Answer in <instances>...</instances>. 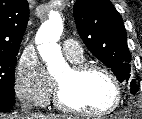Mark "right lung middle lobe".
<instances>
[{"mask_svg": "<svg viewBox=\"0 0 142 119\" xmlns=\"http://www.w3.org/2000/svg\"><path fill=\"white\" fill-rule=\"evenodd\" d=\"M18 52H0V96L14 100L15 64Z\"/></svg>", "mask_w": 142, "mask_h": 119, "instance_id": "right-lung-middle-lobe-1", "label": "right lung middle lobe"}]
</instances>
